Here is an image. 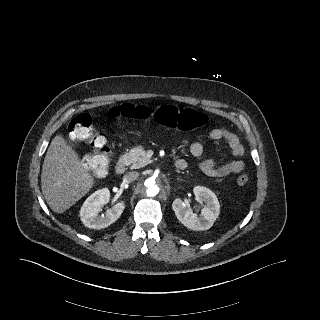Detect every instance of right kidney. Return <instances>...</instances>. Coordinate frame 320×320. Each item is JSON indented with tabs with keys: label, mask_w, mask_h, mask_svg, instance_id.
Here are the masks:
<instances>
[{
	"label": "right kidney",
	"mask_w": 320,
	"mask_h": 320,
	"mask_svg": "<svg viewBox=\"0 0 320 320\" xmlns=\"http://www.w3.org/2000/svg\"><path fill=\"white\" fill-rule=\"evenodd\" d=\"M110 192L102 188L91 194L80 210V217L83 224L92 229H103L114 223L122 214L125 203L118 202L108 209L104 215H99L102 207L109 202Z\"/></svg>",
	"instance_id": "ca27d5eb"
}]
</instances>
